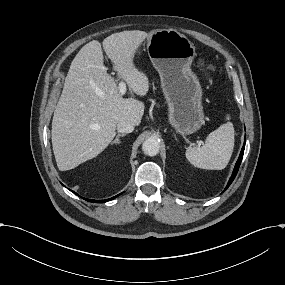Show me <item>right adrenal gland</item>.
I'll use <instances>...</instances> for the list:
<instances>
[{"instance_id": "obj_1", "label": "right adrenal gland", "mask_w": 285, "mask_h": 285, "mask_svg": "<svg viewBox=\"0 0 285 285\" xmlns=\"http://www.w3.org/2000/svg\"><path fill=\"white\" fill-rule=\"evenodd\" d=\"M123 136H125V134H123V133L117 134L116 137H115V140L111 143V146L119 145L120 144L119 137H123Z\"/></svg>"}]
</instances>
